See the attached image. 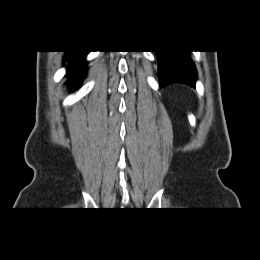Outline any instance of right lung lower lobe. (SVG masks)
Here are the masks:
<instances>
[{
    "label": "right lung lower lobe",
    "instance_id": "1",
    "mask_svg": "<svg viewBox=\"0 0 260 260\" xmlns=\"http://www.w3.org/2000/svg\"><path fill=\"white\" fill-rule=\"evenodd\" d=\"M87 53H88V51H68V53H66V55L64 56V59H67V57H69L73 61H77V60H79V58L83 57ZM80 64L81 65H78V64L70 65L69 64L70 69L67 70V75L70 77V80H69L70 85H73V86L77 85L78 83H80L82 78L86 75L85 61L82 60V62H80Z\"/></svg>",
    "mask_w": 260,
    "mask_h": 260
}]
</instances>
